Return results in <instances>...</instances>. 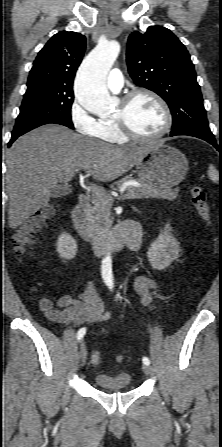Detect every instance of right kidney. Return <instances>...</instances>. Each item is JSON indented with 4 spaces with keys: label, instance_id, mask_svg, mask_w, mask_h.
<instances>
[{
    "label": "right kidney",
    "instance_id": "ca27d5eb",
    "mask_svg": "<svg viewBox=\"0 0 222 447\" xmlns=\"http://www.w3.org/2000/svg\"><path fill=\"white\" fill-rule=\"evenodd\" d=\"M56 249L61 258L72 259L77 253L76 240L68 233H63L59 236Z\"/></svg>",
    "mask_w": 222,
    "mask_h": 447
}]
</instances>
